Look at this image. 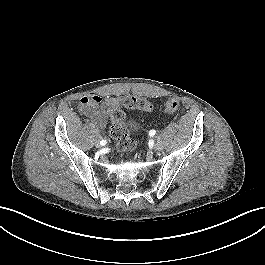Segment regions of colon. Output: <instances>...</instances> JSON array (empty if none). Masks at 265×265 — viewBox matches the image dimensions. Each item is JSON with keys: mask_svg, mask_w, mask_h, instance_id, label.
<instances>
[{"mask_svg": "<svg viewBox=\"0 0 265 265\" xmlns=\"http://www.w3.org/2000/svg\"><path fill=\"white\" fill-rule=\"evenodd\" d=\"M154 105L144 98L136 96H127L122 98L116 106L111 110V126L110 133L115 142L116 148L121 152L131 153L136 148L135 141L130 137L129 130L125 125L124 109H140L144 111H153ZM180 108V102L176 98L168 100L163 111L168 114L175 113Z\"/></svg>", "mask_w": 265, "mask_h": 265, "instance_id": "1", "label": "colon"}]
</instances>
